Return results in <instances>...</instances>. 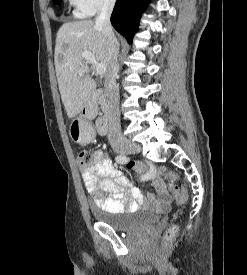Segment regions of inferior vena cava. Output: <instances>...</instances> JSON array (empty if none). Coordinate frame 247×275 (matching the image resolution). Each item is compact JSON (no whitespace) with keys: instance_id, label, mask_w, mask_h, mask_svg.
<instances>
[{"instance_id":"inferior-vena-cava-1","label":"inferior vena cava","mask_w":247,"mask_h":275,"mask_svg":"<svg viewBox=\"0 0 247 275\" xmlns=\"http://www.w3.org/2000/svg\"><path fill=\"white\" fill-rule=\"evenodd\" d=\"M116 0H104L96 16L95 24L102 30L108 48L109 68L105 74L104 85L108 94V141L112 146L122 144L125 141L121 132L119 117V89L116 77L119 71L118 54L119 42L114 35L110 16Z\"/></svg>"}]
</instances>
